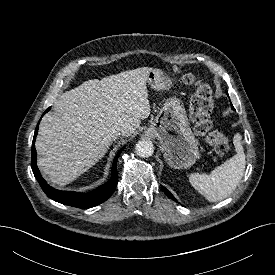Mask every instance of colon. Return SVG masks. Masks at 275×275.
Masks as SVG:
<instances>
[{
  "instance_id": "obj_1",
  "label": "colon",
  "mask_w": 275,
  "mask_h": 275,
  "mask_svg": "<svg viewBox=\"0 0 275 275\" xmlns=\"http://www.w3.org/2000/svg\"><path fill=\"white\" fill-rule=\"evenodd\" d=\"M182 80L186 85L195 88L189 103V116L195 133L204 137L216 153H226L229 149V139L223 133L214 130L210 121V114L214 107L212 89L191 73H185Z\"/></svg>"
}]
</instances>
